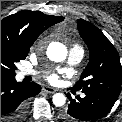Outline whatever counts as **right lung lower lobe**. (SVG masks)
<instances>
[{
	"label": "right lung lower lobe",
	"instance_id": "right-lung-lower-lobe-1",
	"mask_svg": "<svg viewBox=\"0 0 122 122\" xmlns=\"http://www.w3.org/2000/svg\"><path fill=\"white\" fill-rule=\"evenodd\" d=\"M41 91L32 82L21 84L15 76L1 74V122H21L26 114L27 99Z\"/></svg>",
	"mask_w": 122,
	"mask_h": 122
}]
</instances>
